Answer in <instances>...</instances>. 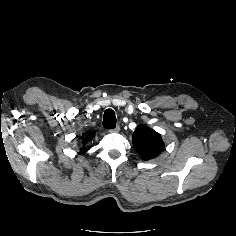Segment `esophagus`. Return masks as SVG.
<instances>
[{
    "label": "esophagus",
    "instance_id": "1",
    "mask_svg": "<svg viewBox=\"0 0 236 236\" xmlns=\"http://www.w3.org/2000/svg\"><path fill=\"white\" fill-rule=\"evenodd\" d=\"M120 131V126L117 125L115 128L111 129V132H119Z\"/></svg>",
    "mask_w": 236,
    "mask_h": 236
}]
</instances>
